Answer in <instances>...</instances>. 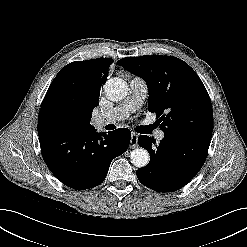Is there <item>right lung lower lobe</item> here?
Here are the masks:
<instances>
[{
    "label": "right lung lower lobe",
    "mask_w": 247,
    "mask_h": 247,
    "mask_svg": "<svg viewBox=\"0 0 247 247\" xmlns=\"http://www.w3.org/2000/svg\"><path fill=\"white\" fill-rule=\"evenodd\" d=\"M43 159L66 186L84 190L101 184L111 161L123 154L130 144L131 132L119 128L108 134L96 130L70 132L38 123Z\"/></svg>",
    "instance_id": "1"
}]
</instances>
